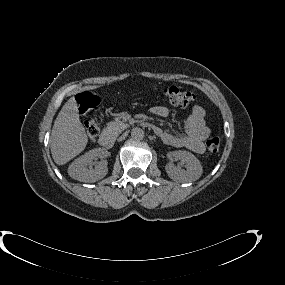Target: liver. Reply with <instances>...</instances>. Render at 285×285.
Wrapping results in <instances>:
<instances>
[{
  "label": "liver",
  "mask_w": 285,
  "mask_h": 285,
  "mask_svg": "<svg viewBox=\"0 0 285 285\" xmlns=\"http://www.w3.org/2000/svg\"><path fill=\"white\" fill-rule=\"evenodd\" d=\"M50 141L52 157L58 165L66 164L85 149L88 138L80 122L78 106L73 97L59 112L52 128Z\"/></svg>",
  "instance_id": "liver-1"
}]
</instances>
